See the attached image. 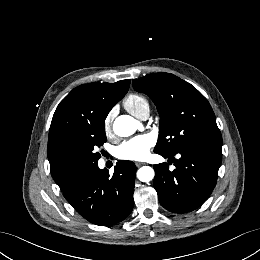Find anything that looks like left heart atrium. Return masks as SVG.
Wrapping results in <instances>:
<instances>
[{
  "mask_svg": "<svg viewBox=\"0 0 260 260\" xmlns=\"http://www.w3.org/2000/svg\"><path fill=\"white\" fill-rule=\"evenodd\" d=\"M153 145L154 138L151 135H140L119 145L116 148V156L124 160H143L148 156Z\"/></svg>",
  "mask_w": 260,
  "mask_h": 260,
  "instance_id": "left-heart-atrium-1",
  "label": "left heart atrium"
}]
</instances>
